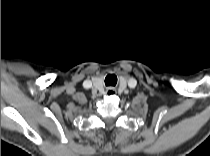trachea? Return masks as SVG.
<instances>
[{"label": "trachea", "instance_id": "trachea-1", "mask_svg": "<svg viewBox=\"0 0 210 156\" xmlns=\"http://www.w3.org/2000/svg\"><path fill=\"white\" fill-rule=\"evenodd\" d=\"M117 83V77L114 74H109L105 78V85L106 86H115Z\"/></svg>", "mask_w": 210, "mask_h": 156}]
</instances>
